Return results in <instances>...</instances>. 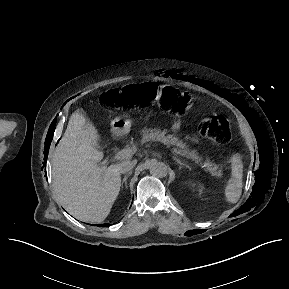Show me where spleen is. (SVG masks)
I'll use <instances>...</instances> for the list:
<instances>
[{"label":"spleen","mask_w":289,"mask_h":289,"mask_svg":"<svg viewBox=\"0 0 289 289\" xmlns=\"http://www.w3.org/2000/svg\"><path fill=\"white\" fill-rule=\"evenodd\" d=\"M231 175L224 190L226 202L235 204L238 202L243 188V162L240 154L236 153L230 158Z\"/></svg>","instance_id":"spleen-1"}]
</instances>
